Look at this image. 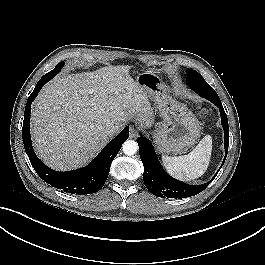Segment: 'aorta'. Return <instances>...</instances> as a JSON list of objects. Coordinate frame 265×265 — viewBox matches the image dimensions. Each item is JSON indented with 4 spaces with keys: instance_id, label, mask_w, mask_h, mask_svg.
Returning <instances> with one entry per match:
<instances>
[{
    "instance_id": "762f6f07",
    "label": "aorta",
    "mask_w": 265,
    "mask_h": 265,
    "mask_svg": "<svg viewBox=\"0 0 265 265\" xmlns=\"http://www.w3.org/2000/svg\"><path fill=\"white\" fill-rule=\"evenodd\" d=\"M123 152L126 155H134L138 150V144L134 140H127L122 146Z\"/></svg>"
}]
</instances>
